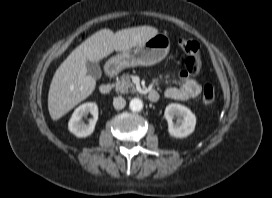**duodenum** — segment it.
Here are the masks:
<instances>
[{
    "instance_id": "duodenum-1",
    "label": "duodenum",
    "mask_w": 272,
    "mask_h": 198,
    "mask_svg": "<svg viewBox=\"0 0 272 198\" xmlns=\"http://www.w3.org/2000/svg\"><path fill=\"white\" fill-rule=\"evenodd\" d=\"M107 74L109 77H114L116 74V69L112 66L107 68ZM112 90V87L110 84H102L99 87V92L102 95H108ZM148 99L152 102L157 101L158 99V93L155 90H150L148 93Z\"/></svg>"
}]
</instances>
